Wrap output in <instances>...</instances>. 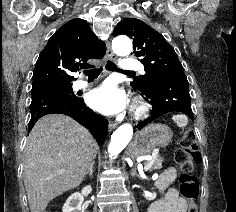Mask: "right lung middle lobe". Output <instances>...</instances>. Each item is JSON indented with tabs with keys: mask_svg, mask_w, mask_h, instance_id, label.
<instances>
[{
	"mask_svg": "<svg viewBox=\"0 0 236 212\" xmlns=\"http://www.w3.org/2000/svg\"><path fill=\"white\" fill-rule=\"evenodd\" d=\"M49 89L58 92L60 95L70 99V100H77L78 97L74 95L72 90V85H65V86H55L50 87Z\"/></svg>",
	"mask_w": 236,
	"mask_h": 212,
	"instance_id": "obj_1",
	"label": "right lung middle lobe"
}]
</instances>
